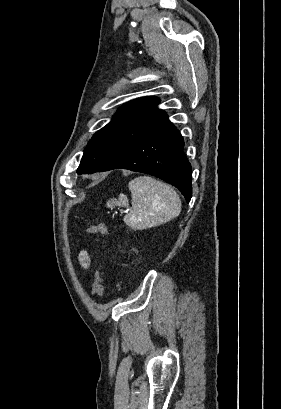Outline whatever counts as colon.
<instances>
[{"instance_id":"obj_1","label":"colon","mask_w":281,"mask_h":409,"mask_svg":"<svg viewBox=\"0 0 281 409\" xmlns=\"http://www.w3.org/2000/svg\"><path fill=\"white\" fill-rule=\"evenodd\" d=\"M87 230L95 234L100 239L104 238L107 234V227L104 223L93 220L87 225ZM104 276L100 269L96 272L94 282V296L97 300H102L104 297Z\"/></svg>"}]
</instances>
